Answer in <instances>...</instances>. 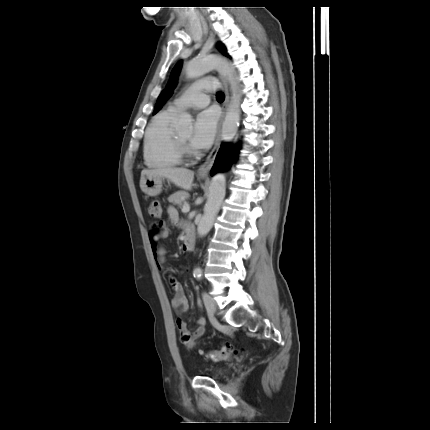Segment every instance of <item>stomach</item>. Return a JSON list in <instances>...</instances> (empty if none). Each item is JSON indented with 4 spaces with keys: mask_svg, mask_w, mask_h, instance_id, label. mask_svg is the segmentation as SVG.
<instances>
[{
    "mask_svg": "<svg viewBox=\"0 0 430 430\" xmlns=\"http://www.w3.org/2000/svg\"><path fill=\"white\" fill-rule=\"evenodd\" d=\"M164 178L156 175H145L140 179V188L143 193L154 197L161 193Z\"/></svg>",
    "mask_w": 430,
    "mask_h": 430,
    "instance_id": "obj_1",
    "label": "stomach"
}]
</instances>
